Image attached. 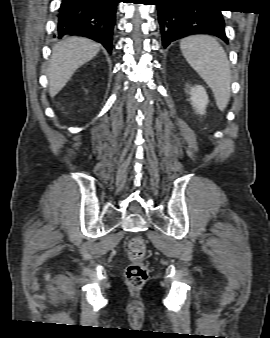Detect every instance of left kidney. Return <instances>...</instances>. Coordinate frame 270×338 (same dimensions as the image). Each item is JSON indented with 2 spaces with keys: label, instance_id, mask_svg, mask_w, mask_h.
Returning <instances> with one entry per match:
<instances>
[{
  "label": "left kidney",
  "instance_id": "1",
  "mask_svg": "<svg viewBox=\"0 0 270 338\" xmlns=\"http://www.w3.org/2000/svg\"><path fill=\"white\" fill-rule=\"evenodd\" d=\"M190 100L192 106L196 109L197 113L204 114L205 108L209 102L208 95L204 87L196 85L190 90Z\"/></svg>",
  "mask_w": 270,
  "mask_h": 338
}]
</instances>
